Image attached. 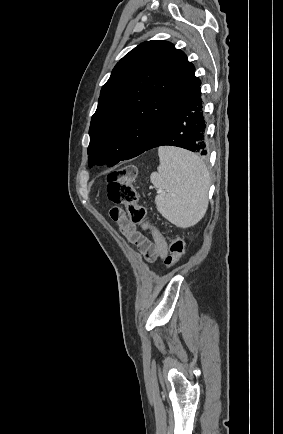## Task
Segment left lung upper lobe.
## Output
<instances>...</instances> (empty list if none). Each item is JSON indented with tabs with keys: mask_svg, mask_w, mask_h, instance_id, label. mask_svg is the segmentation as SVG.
<instances>
[{
	"mask_svg": "<svg viewBox=\"0 0 283 434\" xmlns=\"http://www.w3.org/2000/svg\"><path fill=\"white\" fill-rule=\"evenodd\" d=\"M201 85L195 67L168 41L139 44L114 67L91 118V167L143 153L169 113Z\"/></svg>",
	"mask_w": 283,
	"mask_h": 434,
	"instance_id": "left-lung-upper-lobe-1",
	"label": "left lung upper lobe"
}]
</instances>
